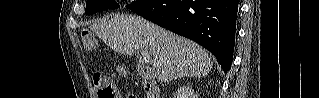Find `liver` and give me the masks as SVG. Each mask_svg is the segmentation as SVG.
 Listing matches in <instances>:
<instances>
[{
  "instance_id": "1",
  "label": "liver",
  "mask_w": 319,
  "mask_h": 98,
  "mask_svg": "<svg viewBox=\"0 0 319 98\" xmlns=\"http://www.w3.org/2000/svg\"><path fill=\"white\" fill-rule=\"evenodd\" d=\"M90 29L120 54L131 56L139 49L147 50L154 57L160 82L205 77L213 67L211 56L198 44L139 16L115 14L93 23Z\"/></svg>"
}]
</instances>
